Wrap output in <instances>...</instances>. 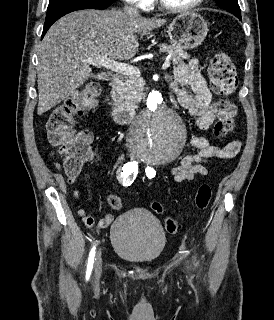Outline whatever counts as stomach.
<instances>
[{
    "label": "stomach",
    "instance_id": "obj_1",
    "mask_svg": "<svg viewBox=\"0 0 274 320\" xmlns=\"http://www.w3.org/2000/svg\"><path fill=\"white\" fill-rule=\"evenodd\" d=\"M208 24L200 14L186 12L179 14L168 26V36L175 48L194 50L204 42L208 34Z\"/></svg>",
    "mask_w": 274,
    "mask_h": 320
}]
</instances>
